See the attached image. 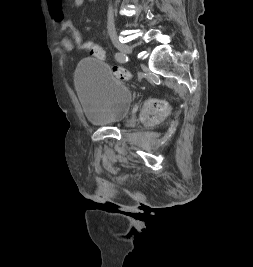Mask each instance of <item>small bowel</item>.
Instances as JSON below:
<instances>
[{"label":"small bowel","instance_id":"1","mask_svg":"<svg viewBox=\"0 0 253 267\" xmlns=\"http://www.w3.org/2000/svg\"><path fill=\"white\" fill-rule=\"evenodd\" d=\"M73 5L80 7L85 4L87 0H72ZM48 8L52 19L57 23H65L66 16L62 8V0H47ZM66 33L60 36V45L66 51H72L74 45L71 40V36L78 31L70 24H66Z\"/></svg>","mask_w":253,"mask_h":267}]
</instances>
